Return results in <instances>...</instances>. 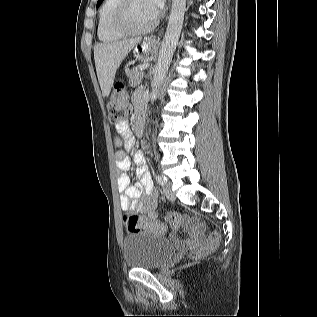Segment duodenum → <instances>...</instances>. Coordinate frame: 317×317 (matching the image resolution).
Listing matches in <instances>:
<instances>
[{
    "mask_svg": "<svg viewBox=\"0 0 317 317\" xmlns=\"http://www.w3.org/2000/svg\"><path fill=\"white\" fill-rule=\"evenodd\" d=\"M136 132L139 136H141L143 133V129H142L141 123L139 121H137V123H136Z\"/></svg>",
    "mask_w": 317,
    "mask_h": 317,
    "instance_id": "410a0bca",
    "label": "duodenum"
}]
</instances>
